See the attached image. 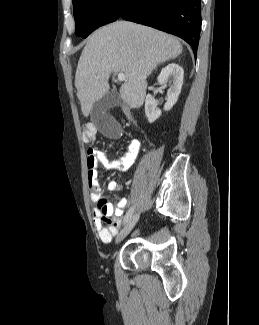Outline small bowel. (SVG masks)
Segmentation results:
<instances>
[{
	"label": "small bowel",
	"instance_id": "obj_1",
	"mask_svg": "<svg viewBox=\"0 0 259 325\" xmlns=\"http://www.w3.org/2000/svg\"><path fill=\"white\" fill-rule=\"evenodd\" d=\"M138 151L139 141L137 139H132L129 142L128 151L119 162L111 161L101 150L95 148L87 150V174L90 198L91 201L96 204V208L93 211V223L102 243H110L118 232L128 201L126 198L122 197L118 200L116 205H113L102 195L98 183L99 167L103 166L108 169L129 167L135 161ZM121 188L122 184L116 179L110 180L107 185V189L110 192H117ZM111 216L112 218L109 219ZM104 222H107V226H104Z\"/></svg>",
	"mask_w": 259,
	"mask_h": 325
}]
</instances>
